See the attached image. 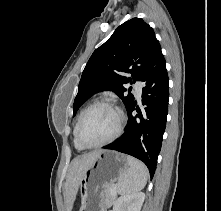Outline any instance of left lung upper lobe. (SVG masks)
I'll return each instance as SVG.
<instances>
[{
    "instance_id": "5c2ea615",
    "label": "left lung upper lobe",
    "mask_w": 221,
    "mask_h": 211,
    "mask_svg": "<svg viewBox=\"0 0 221 211\" xmlns=\"http://www.w3.org/2000/svg\"><path fill=\"white\" fill-rule=\"evenodd\" d=\"M160 50L153 29L142 19L133 18L120 25L87 62L74 100L73 115L91 95L104 90L115 92L127 109L134 96L124 95L127 89L123 84L142 80Z\"/></svg>"
}]
</instances>
